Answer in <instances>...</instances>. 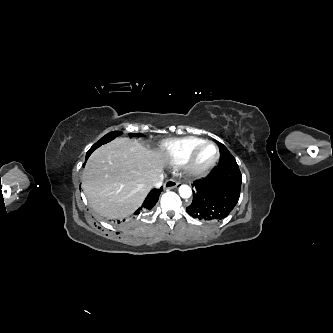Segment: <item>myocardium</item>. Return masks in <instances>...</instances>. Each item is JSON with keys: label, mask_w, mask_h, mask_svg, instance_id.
Masks as SVG:
<instances>
[{"label": "myocardium", "mask_w": 333, "mask_h": 333, "mask_svg": "<svg viewBox=\"0 0 333 333\" xmlns=\"http://www.w3.org/2000/svg\"><path fill=\"white\" fill-rule=\"evenodd\" d=\"M207 146L214 147L216 150V155L210 162L206 164H199L197 161L198 156L201 153V151ZM219 158H220V152L218 146L212 141L205 140L203 143L197 146L189 155V157L183 164L184 171L189 176H200L208 172L210 169H212L217 164Z\"/></svg>", "instance_id": "myocardium-1"}]
</instances>
